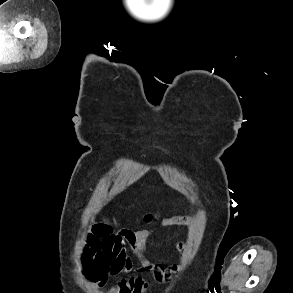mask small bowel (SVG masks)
Segmentation results:
<instances>
[{
	"label": "small bowel",
	"mask_w": 293,
	"mask_h": 293,
	"mask_svg": "<svg viewBox=\"0 0 293 293\" xmlns=\"http://www.w3.org/2000/svg\"><path fill=\"white\" fill-rule=\"evenodd\" d=\"M186 224L183 219L171 218L157 226L139 231L123 229L113 232L109 227H96L82 244L79 260L81 269L96 286L105 285L111 276L122 275L113 288L114 293H144L148 282L141 275H131L133 266L126 245L138 259L140 270L149 271L156 282L166 283L179 270V266H164L159 262H152L148 257L147 243L151 236L162 228ZM163 246L175 249L180 255L185 254L182 242H167Z\"/></svg>",
	"instance_id": "c3829d8e"
}]
</instances>
